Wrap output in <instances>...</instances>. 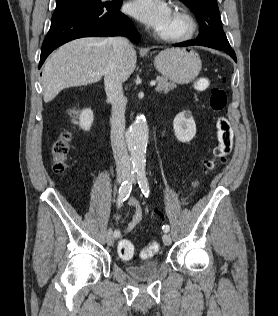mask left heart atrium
I'll use <instances>...</instances> for the list:
<instances>
[{"mask_svg": "<svg viewBox=\"0 0 278 316\" xmlns=\"http://www.w3.org/2000/svg\"><path fill=\"white\" fill-rule=\"evenodd\" d=\"M127 10L134 18L156 30L164 25L171 13L168 4L163 0H132L128 3Z\"/></svg>", "mask_w": 278, "mask_h": 316, "instance_id": "left-heart-atrium-1", "label": "left heart atrium"}]
</instances>
